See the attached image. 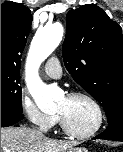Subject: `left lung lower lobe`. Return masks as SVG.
<instances>
[{
  "label": "left lung lower lobe",
  "mask_w": 123,
  "mask_h": 152,
  "mask_svg": "<svg viewBox=\"0 0 123 152\" xmlns=\"http://www.w3.org/2000/svg\"><path fill=\"white\" fill-rule=\"evenodd\" d=\"M94 139L123 141V113L118 114L108 129Z\"/></svg>",
  "instance_id": "1"
}]
</instances>
